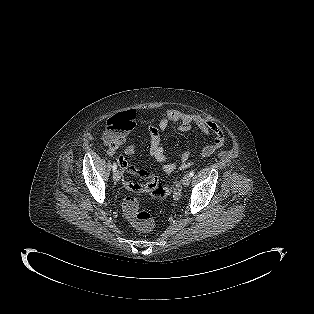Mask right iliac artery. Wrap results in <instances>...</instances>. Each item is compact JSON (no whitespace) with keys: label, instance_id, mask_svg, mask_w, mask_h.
Wrapping results in <instances>:
<instances>
[{"label":"right iliac artery","instance_id":"right-iliac-artery-1","mask_svg":"<svg viewBox=\"0 0 314 314\" xmlns=\"http://www.w3.org/2000/svg\"><path fill=\"white\" fill-rule=\"evenodd\" d=\"M112 168H113V171L115 172V171H116V169H117V165H116V163H115V162L113 163Z\"/></svg>","mask_w":314,"mask_h":314}]
</instances>
